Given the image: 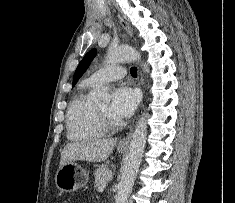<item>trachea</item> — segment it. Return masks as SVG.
<instances>
[{"instance_id":"obj_1","label":"trachea","mask_w":235,"mask_h":203,"mask_svg":"<svg viewBox=\"0 0 235 203\" xmlns=\"http://www.w3.org/2000/svg\"><path fill=\"white\" fill-rule=\"evenodd\" d=\"M130 73L132 76L136 77L137 76V68L136 67H132L130 69Z\"/></svg>"}]
</instances>
